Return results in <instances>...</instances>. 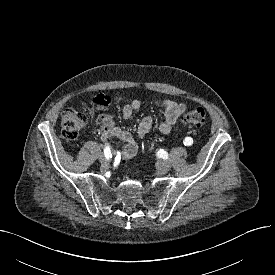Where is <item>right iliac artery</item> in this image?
I'll return each instance as SVG.
<instances>
[{
  "mask_svg": "<svg viewBox=\"0 0 275 275\" xmlns=\"http://www.w3.org/2000/svg\"><path fill=\"white\" fill-rule=\"evenodd\" d=\"M104 155H105L106 159H108V160L112 157L111 150H110L109 146H106L104 148Z\"/></svg>",
  "mask_w": 275,
  "mask_h": 275,
  "instance_id": "obj_1",
  "label": "right iliac artery"
}]
</instances>
